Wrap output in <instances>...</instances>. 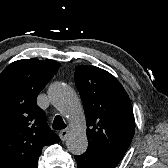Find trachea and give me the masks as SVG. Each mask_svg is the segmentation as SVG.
<instances>
[{
    "label": "trachea",
    "mask_w": 168,
    "mask_h": 168,
    "mask_svg": "<svg viewBox=\"0 0 168 168\" xmlns=\"http://www.w3.org/2000/svg\"><path fill=\"white\" fill-rule=\"evenodd\" d=\"M66 127V124L62 120L61 116H56L53 121V128L57 130L64 129Z\"/></svg>",
    "instance_id": "1"
}]
</instances>
